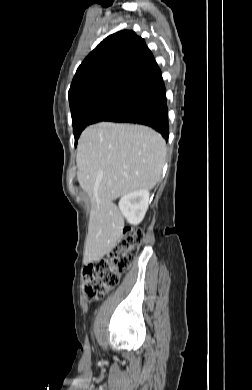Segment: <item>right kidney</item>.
I'll return each mask as SVG.
<instances>
[{
	"instance_id": "ca27d5eb",
	"label": "right kidney",
	"mask_w": 252,
	"mask_h": 390,
	"mask_svg": "<svg viewBox=\"0 0 252 390\" xmlns=\"http://www.w3.org/2000/svg\"><path fill=\"white\" fill-rule=\"evenodd\" d=\"M150 193L148 190H137L124 195L119 201L122 215L132 225H138L148 209Z\"/></svg>"
}]
</instances>
